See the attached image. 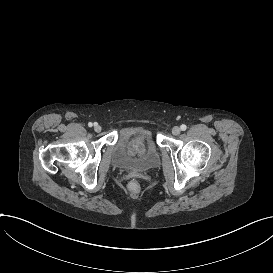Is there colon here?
Returning <instances> with one entry per match:
<instances>
[{"mask_svg": "<svg viewBox=\"0 0 273 273\" xmlns=\"http://www.w3.org/2000/svg\"><path fill=\"white\" fill-rule=\"evenodd\" d=\"M124 192L130 198L137 197L141 192V187L139 182L136 180L128 182L124 187Z\"/></svg>", "mask_w": 273, "mask_h": 273, "instance_id": "1", "label": "colon"}]
</instances>
